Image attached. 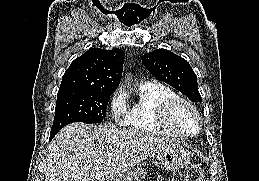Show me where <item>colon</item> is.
Returning <instances> with one entry per match:
<instances>
[{
	"label": "colon",
	"mask_w": 259,
	"mask_h": 181,
	"mask_svg": "<svg viewBox=\"0 0 259 181\" xmlns=\"http://www.w3.org/2000/svg\"><path fill=\"white\" fill-rule=\"evenodd\" d=\"M182 181H204V170L200 165H192Z\"/></svg>",
	"instance_id": "obj_1"
}]
</instances>
